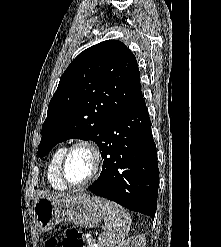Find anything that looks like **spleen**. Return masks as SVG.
Wrapping results in <instances>:
<instances>
[{
  "label": "spleen",
  "instance_id": "spleen-1",
  "mask_svg": "<svg viewBox=\"0 0 221 247\" xmlns=\"http://www.w3.org/2000/svg\"><path fill=\"white\" fill-rule=\"evenodd\" d=\"M104 221L107 231L100 235V247L120 245L128 236L132 219L130 214L118 204L105 202L103 204Z\"/></svg>",
  "mask_w": 221,
  "mask_h": 247
}]
</instances>
